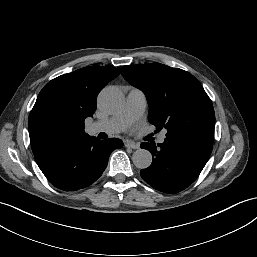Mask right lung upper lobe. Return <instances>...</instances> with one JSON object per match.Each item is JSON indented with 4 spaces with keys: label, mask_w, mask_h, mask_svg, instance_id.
<instances>
[{
    "label": "right lung upper lobe",
    "mask_w": 257,
    "mask_h": 257,
    "mask_svg": "<svg viewBox=\"0 0 257 257\" xmlns=\"http://www.w3.org/2000/svg\"><path fill=\"white\" fill-rule=\"evenodd\" d=\"M119 74L120 68L90 66L48 82L28 120L34 156L64 141L89 136L84 131V120L93 116L99 91Z\"/></svg>",
    "instance_id": "cb5924a9"
}]
</instances>
